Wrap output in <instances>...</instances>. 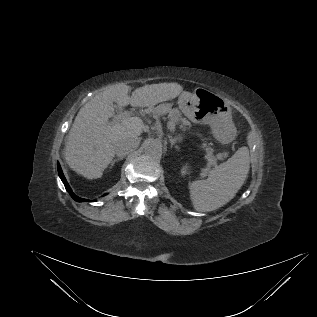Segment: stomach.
Returning a JSON list of instances; mask_svg holds the SVG:
<instances>
[{"mask_svg": "<svg viewBox=\"0 0 317 317\" xmlns=\"http://www.w3.org/2000/svg\"><path fill=\"white\" fill-rule=\"evenodd\" d=\"M178 105L195 122L208 123L218 140L229 142L234 138L236 130L231 120L230 107L222 96L199 87L193 93L182 92Z\"/></svg>", "mask_w": 317, "mask_h": 317, "instance_id": "stomach-1", "label": "stomach"}]
</instances>
